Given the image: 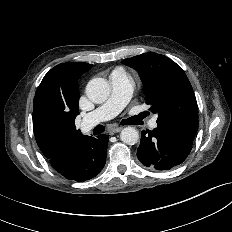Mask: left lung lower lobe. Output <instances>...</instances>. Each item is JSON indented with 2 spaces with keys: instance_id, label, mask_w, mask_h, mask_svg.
<instances>
[{
  "instance_id": "1",
  "label": "left lung lower lobe",
  "mask_w": 232,
  "mask_h": 232,
  "mask_svg": "<svg viewBox=\"0 0 232 232\" xmlns=\"http://www.w3.org/2000/svg\"><path fill=\"white\" fill-rule=\"evenodd\" d=\"M157 128L142 131L137 157L155 170H168L189 155L198 127V119L169 117L157 120Z\"/></svg>"
}]
</instances>
